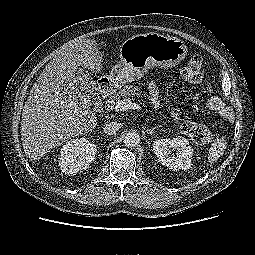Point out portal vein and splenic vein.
Listing matches in <instances>:
<instances>
[{
    "mask_svg": "<svg viewBox=\"0 0 255 255\" xmlns=\"http://www.w3.org/2000/svg\"><path fill=\"white\" fill-rule=\"evenodd\" d=\"M128 109H140L138 104L132 103L130 99H124L118 101V103L114 106V110L116 112H122Z\"/></svg>",
    "mask_w": 255,
    "mask_h": 255,
    "instance_id": "portal-vein-and-splenic-vein-1",
    "label": "portal vein and splenic vein"
}]
</instances>
